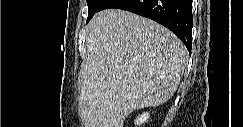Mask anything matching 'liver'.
I'll list each match as a JSON object with an SVG mask.
<instances>
[{"instance_id": "liver-1", "label": "liver", "mask_w": 243, "mask_h": 127, "mask_svg": "<svg viewBox=\"0 0 243 127\" xmlns=\"http://www.w3.org/2000/svg\"><path fill=\"white\" fill-rule=\"evenodd\" d=\"M80 106L85 127H123L134 110L169 100L186 62L184 44L160 24L120 9L98 12L87 28Z\"/></svg>"}]
</instances>
